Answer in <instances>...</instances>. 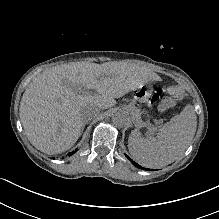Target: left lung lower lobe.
<instances>
[{
	"mask_svg": "<svg viewBox=\"0 0 219 219\" xmlns=\"http://www.w3.org/2000/svg\"><path fill=\"white\" fill-rule=\"evenodd\" d=\"M126 156H127V155H126ZM130 161H131V163L134 164L136 167L142 168L141 166H139L136 162L132 161L131 159H130Z\"/></svg>",
	"mask_w": 219,
	"mask_h": 219,
	"instance_id": "0a47b994",
	"label": "left lung lower lobe"
}]
</instances>
